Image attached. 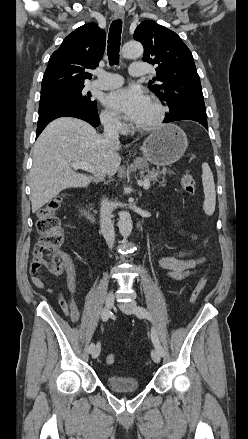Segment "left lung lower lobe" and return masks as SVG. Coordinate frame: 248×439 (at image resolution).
I'll use <instances>...</instances> for the list:
<instances>
[{
	"label": "left lung lower lobe",
	"instance_id": "left-lung-lower-lobe-1",
	"mask_svg": "<svg viewBox=\"0 0 248 439\" xmlns=\"http://www.w3.org/2000/svg\"><path fill=\"white\" fill-rule=\"evenodd\" d=\"M180 120H192L203 125L207 130V115L206 112L198 111V110H181L176 112L175 114L168 115L163 120L164 123L180 121Z\"/></svg>",
	"mask_w": 248,
	"mask_h": 439
}]
</instances>
